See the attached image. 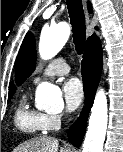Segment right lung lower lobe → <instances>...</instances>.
<instances>
[{"label":"right lung lower lobe","mask_w":123,"mask_h":152,"mask_svg":"<svg viewBox=\"0 0 123 152\" xmlns=\"http://www.w3.org/2000/svg\"><path fill=\"white\" fill-rule=\"evenodd\" d=\"M102 49L97 36L87 40L82 60V78L86 97V107L79 119L68 131L69 141L74 146H80L86 129L88 110L90 111L102 70Z\"/></svg>","instance_id":"98d812e1"}]
</instances>
